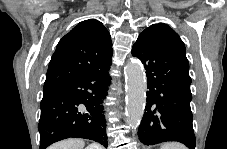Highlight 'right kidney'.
I'll list each match as a JSON object with an SVG mask.
<instances>
[{
  "label": "right kidney",
  "instance_id": "1",
  "mask_svg": "<svg viewBox=\"0 0 227 149\" xmlns=\"http://www.w3.org/2000/svg\"><path fill=\"white\" fill-rule=\"evenodd\" d=\"M86 149H98L97 144H90Z\"/></svg>",
  "mask_w": 227,
  "mask_h": 149
}]
</instances>
